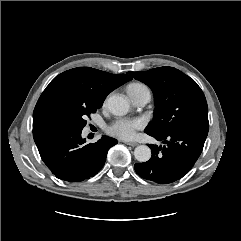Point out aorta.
<instances>
[{
	"label": "aorta",
	"mask_w": 241,
	"mask_h": 241,
	"mask_svg": "<svg viewBox=\"0 0 241 241\" xmlns=\"http://www.w3.org/2000/svg\"><path fill=\"white\" fill-rule=\"evenodd\" d=\"M129 107V102L122 96L112 95L108 99V108L114 115L127 114ZM134 157L139 162H147L151 158V149L146 145H139L134 150Z\"/></svg>",
	"instance_id": "762f6f07"
}]
</instances>
